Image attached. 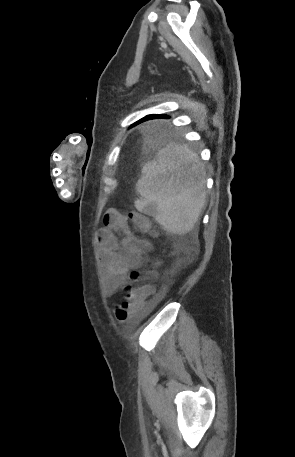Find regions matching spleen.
I'll return each mask as SVG.
<instances>
[{"instance_id":"obj_1","label":"spleen","mask_w":295,"mask_h":457,"mask_svg":"<svg viewBox=\"0 0 295 457\" xmlns=\"http://www.w3.org/2000/svg\"><path fill=\"white\" fill-rule=\"evenodd\" d=\"M205 177L196 155L186 146L170 143L157 159L147 162L136 184L138 211L151 215L171 234L191 231L206 200Z\"/></svg>"}]
</instances>
